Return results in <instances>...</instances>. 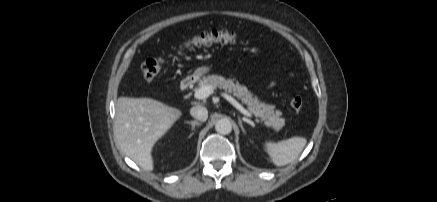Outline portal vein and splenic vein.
Returning <instances> with one entry per match:
<instances>
[{"instance_id":"1","label":"portal vein and splenic vein","mask_w":437,"mask_h":202,"mask_svg":"<svg viewBox=\"0 0 437 202\" xmlns=\"http://www.w3.org/2000/svg\"><path fill=\"white\" fill-rule=\"evenodd\" d=\"M213 93L211 86H203L195 90L194 97L196 99L202 100L209 97ZM226 100H228L235 108H237L242 114L247 117H252L251 113L248 112L239 102H237L233 97L223 94Z\"/></svg>"}]
</instances>
